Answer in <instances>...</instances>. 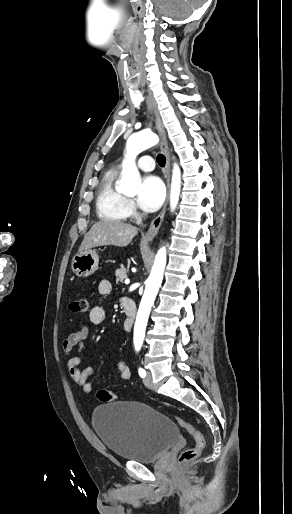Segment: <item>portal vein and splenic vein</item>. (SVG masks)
Returning <instances> with one entry per match:
<instances>
[{"mask_svg": "<svg viewBox=\"0 0 292 514\" xmlns=\"http://www.w3.org/2000/svg\"><path fill=\"white\" fill-rule=\"evenodd\" d=\"M125 284H130V280H125Z\"/></svg>", "mask_w": 292, "mask_h": 514, "instance_id": "18ae733b", "label": "portal vein and splenic vein"}]
</instances>
